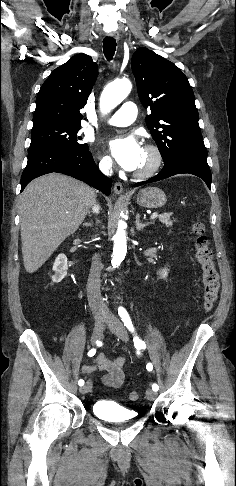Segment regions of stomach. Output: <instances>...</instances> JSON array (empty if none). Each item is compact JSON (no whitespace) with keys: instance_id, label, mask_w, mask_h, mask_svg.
<instances>
[{"instance_id":"1","label":"stomach","mask_w":236,"mask_h":486,"mask_svg":"<svg viewBox=\"0 0 236 486\" xmlns=\"http://www.w3.org/2000/svg\"><path fill=\"white\" fill-rule=\"evenodd\" d=\"M167 197L165 193L157 187H147L141 189L137 196L138 205L146 208L156 209L165 205Z\"/></svg>"}]
</instances>
